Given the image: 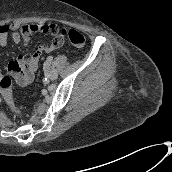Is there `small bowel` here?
I'll return each instance as SVG.
<instances>
[{"label": "small bowel", "instance_id": "small-bowel-1", "mask_svg": "<svg viewBox=\"0 0 172 172\" xmlns=\"http://www.w3.org/2000/svg\"><path fill=\"white\" fill-rule=\"evenodd\" d=\"M24 26L19 24H13L11 26L0 25V46L7 45L9 38H11L12 41L16 44L23 43L24 45H27L31 37L25 40L24 37L22 36L21 30ZM39 26H45V25H39ZM36 32L44 33V34L49 33L42 30H37ZM62 44H63L62 40L60 38H56L55 40L52 41L50 45L40 46L39 51H36L34 54L27 55L25 57H19L18 59L10 62L9 68L11 71L17 72L18 83L20 85H25L29 81H31L33 78V72L36 70L38 66V62L41 54L50 53L54 50H57L62 46Z\"/></svg>", "mask_w": 172, "mask_h": 172}]
</instances>
